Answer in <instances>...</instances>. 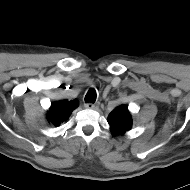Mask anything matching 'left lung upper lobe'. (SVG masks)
Wrapping results in <instances>:
<instances>
[{"label": "left lung upper lobe", "mask_w": 190, "mask_h": 190, "mask_svg": "<svg viewBox=\"0 0 190 190\" xmlns=\"http://www.w3.org/2000/svg\"><path fill=\"white\" fill-rule=\"evenodd\" d=\"M108 123L111 131L115 135L124 134L131 129L132 120L130 112L126 106H120L114 109L108 116Z\"/></svg>", "instance_id": "obj_1"}]
</instances>
